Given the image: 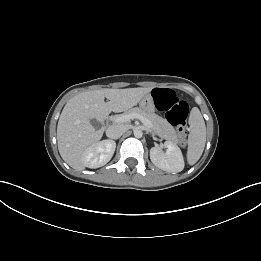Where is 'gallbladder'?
<instances>
[{
	"mask_svg": "<svg viewBox=\"0 0 261 261\" xmlns=\"http://www.w3.org/2000/svg\"><path fill=\"white\" fill-rule=\"evenodd\" d=\"M91 124L94 126L95 129H100L101 128V123L96 120V119H92L91 120Z\"/></svg>",
	"mask_w": 261,
	"mask_h": 261,
	"instance_id": "1",
	"label": "gallbladder"
}]
</instances>
